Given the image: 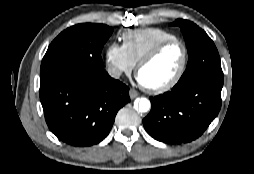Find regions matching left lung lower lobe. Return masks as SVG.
Instances as JSON below:
<instances>
[{"label":"left lung lower lobe","mask_w":254,"mask_h":174,"mask_svg":"<svg viewBox=\"0 0 254 174\" xmlns=\"http://www.w3.org/2000/svg\"><path fill=\"white\" fill-rule=\"evenodd\" d=\"M222 86L223 75L208 74L151 97V111L143 119L145 130L168 144L195 140L219 113Z\"/></svg>","instance_id":"1"}]
</instances>
